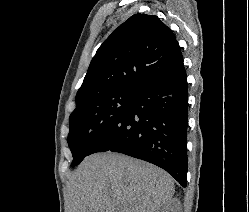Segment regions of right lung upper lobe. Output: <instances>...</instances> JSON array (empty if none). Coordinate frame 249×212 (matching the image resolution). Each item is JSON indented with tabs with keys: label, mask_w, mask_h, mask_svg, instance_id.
Listing matches in <instances>:
<instances>
[{
	"label": "right lung upper lobe",
	"mask_w": 249,
	"mask_h": 212,
	"mask_svg": "<svg viewBox=\"0 0 249 212\" xmlns=\"http://www.w3.org/2000/svg\"><path fill=\"white\" fill-rule=\"evenodd\" d=\"M183 62L172 30L155 15L135 14L99 47L76 95V106L117 91L138 92Z\"/></svg>",
	"instance_id": "right-lung-upper-lobe-1"
}]
</instances>
